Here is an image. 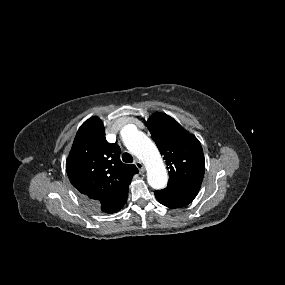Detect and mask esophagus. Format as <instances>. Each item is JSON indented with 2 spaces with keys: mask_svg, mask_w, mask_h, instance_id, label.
I'll use <instances>...</instances> for the list:
<instances>
[{
  "mask_svg": "<svg viewBox=\"0 0 285 285\" xmlns=\"http://www.w3.org/2000/svg\"><path fill=\"white\" fill-rule=\"evenodd\" d=\"M135 165L139 169L140 172H142V173L145 172V167L141 161L136 160Z\"/></svg>",
  "mask_w": 285,
  "mask_h": 285,
  "instance_id": "34e87169",
  "label": "esophagus"
}]
</instances>
